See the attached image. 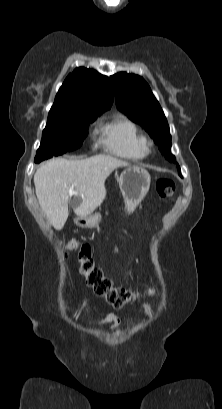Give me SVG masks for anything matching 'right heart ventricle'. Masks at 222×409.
<instances>
[{
    "mask_svg": "<svg viewBox=\"0 0 222 409\" xmlns=\"http://www.w3.org/2000/svg\"><path fill=\"white\" fill-rule=\"evenodd\" d=\"M101 143L119 157L141 160L147 155L146 139L139 126L130 118L117 115L100 130Z\"/></svg>",
    "mask_w": 222,
    "mask_h": 409,
    "instance_id": "1",
    "label": "right heart ventricle"
}]
</instances>
